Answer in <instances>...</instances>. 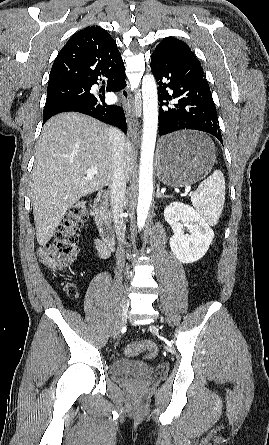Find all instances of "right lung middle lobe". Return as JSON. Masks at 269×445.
Wrapping results in <instances>:
<instances>
[{
    "instance_id": "right-lung-middle-lobe-1",
    "label": "right lung middle lobe",
    "mask_w": 269,
    "mask_h": 445,
    "mask_svg": "<svg viewBox=\"0 0 269 445\" xmlns=\"http://www.w3.org/2000/svg\"><path fill=\"white\" fill-rule=\"evenodd\" d=\"M87 84L64 85L47 89L43 118L50 115L58 106L87 94Z\"/></svg>"
}]
</instances>
